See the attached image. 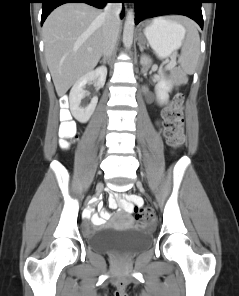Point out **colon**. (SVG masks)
Segmentation results:
<instances>
[{
	"instance_id": "5ec220e1",
	"label": "colon",
	"mask_w": 239,
	"mask_h": 296,
	"mask_svg": "<svg viewBox=\"0 0 239 296\" xmlns=\"http://www.w3.org/2000/svg\"><path fill=\"white\" fill-rule=\"evenodd\" d=\"M183 100L182 93L176 94L170 106L164 111V129L168 144L174 148H179L183 143ZM60 146L68 149L73 141L77 129L71 116L66 110L60 113ZM135 218L140 222H146L153 218V210L150 207L136 205L134 208Z\"/></svg>"
}]
</instances>
